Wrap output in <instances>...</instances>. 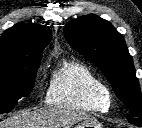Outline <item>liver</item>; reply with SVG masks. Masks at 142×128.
Wrapping results in <instances>:
<instances>
[{"label": "liver", "mask_w": 142, "mask_h": 128, "mask_svg": "<svg viewBox=\"0 0 142 128\" xmlns=\"http://www.w3.org/2000/svg\"><path fill=\"white\" fill-rule=\"evenodd\" d=\"M88 118L83 111L49 107L9 117L0 122V128H70Z\"/></svg>", "instance_id": "1"}]
</instances>
